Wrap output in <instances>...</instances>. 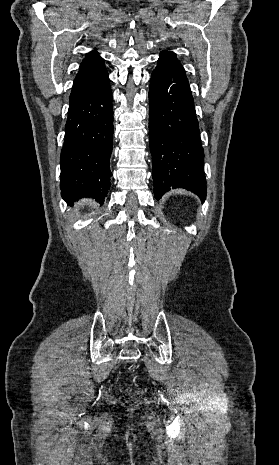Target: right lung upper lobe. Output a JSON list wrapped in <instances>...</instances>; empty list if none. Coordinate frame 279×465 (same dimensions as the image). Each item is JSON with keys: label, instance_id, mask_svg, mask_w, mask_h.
Listing matches in <instances>:
<instances>
[{"label": "right lung upper lobe", "instance_id": "obj_1", "mask_svg": "<svg viewBox=\"0 0 279 465\" xmlns=\"http://www.w3.org/2000/svg\"><path fill=\"white\" fill-rule=\"evenodd\" d=\"M106 75L107 70L99 53L96 50L87 53L74 80L70 102L87 92Z\"/></svg>", "mask_w": 279, "mask_h": 465}]
</instances>
